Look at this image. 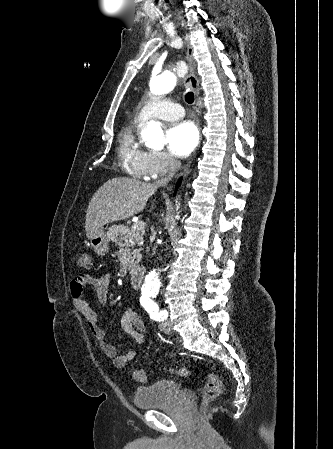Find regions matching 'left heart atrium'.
Wrapping results in <instances>:
<instances>
[{
    "label": "left heart atrium",
    "mask_w": 333,
    "mask_h": 449,
    "mask_svg": "<svg viewBox=\"0 0 333 449\" xmlns=\"http://www.w3.org/2000/svg\"><path fill=\"white\" fill-rule=\"evenodd\" d=\"M170 152L177 157L188 156L199 141L197 127L190 121H182L172 126L166 135Z\"/></svg>",
    "instance_id": "39dd6f15"
}]
</instances>
